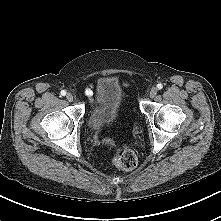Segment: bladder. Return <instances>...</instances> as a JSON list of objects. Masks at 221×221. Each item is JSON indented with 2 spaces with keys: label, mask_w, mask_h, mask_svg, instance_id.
<instances>
[{
  "label": "bladder",
  "mask_w": 221,
  "mask_h": 221,
  "mask_svg": "<svg viewBox=\"0 0 221 221\" xmlns=\"http://www.w3.org/2000/svg\"><path fill=\"white\" fill-rule=\"evenodd\" d=\"M110 94V95H108ZM123 93L112 77L101 79L89 113V126L98 132L113 125L120 117Z\"/></svg>",
  "instance_id": "1"
}]
</instances>
